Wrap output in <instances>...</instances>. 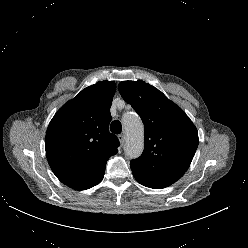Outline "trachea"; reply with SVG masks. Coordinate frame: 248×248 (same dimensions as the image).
I'll list each match as a JSON object with an SVG mask.
<instances>
[{
    "label": "trachea",
    "instance_id": "obj_1",
    "mask_svg": "<svg viewBox=\"0 0 248 248\" xmlns=\"http://www.w3.org/2000/svg\"><path fill=\"white\" fill-rule=\"evenodd\" d=\"M110 130L112 133L120 134L122 131V125L121 122L118 120H114L110 125Z\"/></svg>",
    "mask_w": 248,
    "mask_h": 248
}]
</instances>
